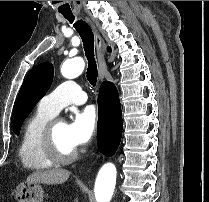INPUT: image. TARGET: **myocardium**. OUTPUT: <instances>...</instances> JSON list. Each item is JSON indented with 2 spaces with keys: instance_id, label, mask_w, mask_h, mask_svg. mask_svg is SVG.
Returning a JSON list of instances; mask_svg holds the SVG:
<instances>
[{
  "instance_id": "1",
  "label": "myocardium",
  "mask_w": 209,
  "mask_h": 202,
  "mask_svg": "<svg viewBox=\"0 0 209 202\" xmlns=\"http://www.w3.org/2000/svg\"><path fill=\"white\" fill-rule=\"evenodd\" d=\"M57 119L50 120L42 133L41 144L46 153V155L56 163H69L74 161L78 156L77 149L72 150L71 152H63L55 138V128Z\"/></svg>"
}]
</instances>
